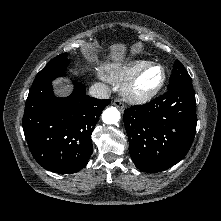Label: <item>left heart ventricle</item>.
Returning a JSON list of instances; mask_svg holds the SVG:
<instances>
[{"label": "left heart ventricle", "instance_id": "obj_1", "mask_svg": "<svg viewBox=\"0 0 221 221\" xmlns=\"http://www.w3.org/2000/svg\"><path fill=\"white\" fill-rule=\"evenodd\" d=\"M161 78V71L159 68H152L144 75L141 85L144 87L155 86Z\"/></svg>", "mask_w": 221, "mask_h": 221}]
</instances>
